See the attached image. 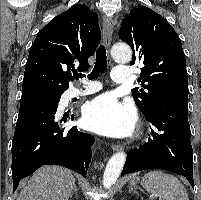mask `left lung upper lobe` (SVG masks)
<instances>
[{
    "instance_id": "obj_1",
    "label": "left lung upper lobe",
    "mask_w": 201,
    "mask_h": 200,
    "mask_svg": "<svg viewBox=\"0 0 201 200\" xmlns=\"http://www.w3.org/2000/svg\"><path fill=\"white\" fill-rule=\"evenodd\" d=\"M119 38L130 45V65L143 63L139 82L133 88L138 108L146 113L157 101L168 98L188 99L186 61L179 36L159 14L138 6L123 19Z\"/></svg>"
}]
</instances>
